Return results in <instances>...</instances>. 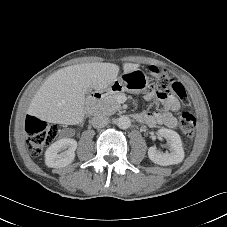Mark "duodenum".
<instances>
[{
	"mask_svg": "<svg viewBox=\"0 0 227 227\" xmlns=\"http://www.w3.org/2000/svg\"><path fill=\"white\" fill-rule=\"evenodd\" d=\"M107 91L103 90V91H97L92 93L87 101H86V111L88 114H93L96 110L97 107V103L99 102V100L106 94ZM136 120L140 121L141 115L140 114H136L135 115Z\"/></svg>",
	"mask_w": 227,
	"mask_h": 227,
	"instance_id": "1",
	"label": "duodenum"
}]
</instances>
